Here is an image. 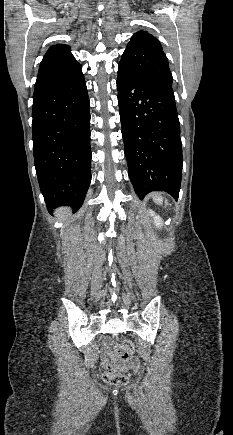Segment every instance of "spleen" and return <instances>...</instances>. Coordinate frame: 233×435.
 Instances as JSON below:
<instances>
[{
    "label": "spleen",
    "mask_w": 233,
    "mask_h": 435,
    "mask_svg": "<svg viewBox=\"0 0 233 435\" xmlns=\"http://www.w3.org/2000/svg\"><path fill=\"white\" fill-rule=\"evenodd\" d=\"M163 200H164V198L162 197V195L160 193L153 194V201L156 204H158V205L163 204ZM165 205H168V201L167 200H165Z\"/></svg>",
    "instance_id": "spleen-1"
}]
</instances>
